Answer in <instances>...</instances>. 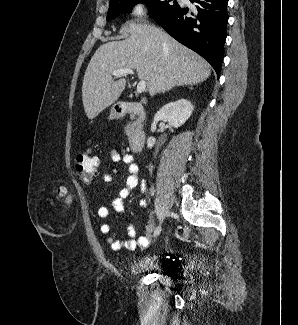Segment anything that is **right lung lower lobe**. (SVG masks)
Segmentation results:
<instances>
[{
	"mask_svg": "<svg viewBox=\"0 0 298 325\" xmlns=\"http://www.w3.org/2000/svg\"><path fill=\"white\" fill-rule=\"evenodd\" d=\"M193 12L181 6L154 20L173 38L204 57L219 76L227 36L228 0H190Z\"/></svg>",
	"mask_w": 298,
	"mask_h": 325,
	"instance_id": "98d812e1",
	"label": "right lung lower lobe"
}]
</instances>
